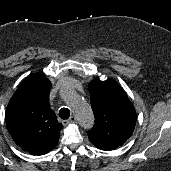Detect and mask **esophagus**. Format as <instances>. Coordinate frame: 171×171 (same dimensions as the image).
I'll use <instances>...</instances> for the list:
<instances>
[{
  "label": "esophagus",
  "instance_id": "34e87169",
  "mask_svg": "<svg viewBox=\"0 0 171 171\" xmlns=\"http://www.w3.org/2000/svg\"><path fill=\"white\" fill-rule=\"evenodd\" d=\"M74 122H76V117L75 116H71L68 120H64L63 124L67 125V124L74 123Z\"/></svg>",
  "mask_w": 171,
  "mask_h": 171
}]
</instances>
